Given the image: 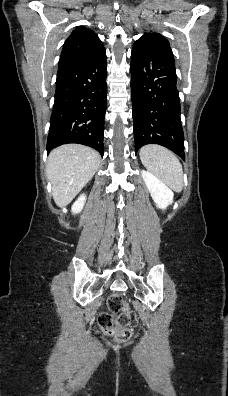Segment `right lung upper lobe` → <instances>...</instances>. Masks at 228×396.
Listing matches in <instances>:
<instances>
[{"mask_svg":"<svg viewBox=\"0 0 228 396\" xmlns=\"http://www.w3.org/2000/svg\"><path fill=\"white\" fill-rule=\"evenodd\" d=\"M101 47L103 43L92 30L77 27L63 45L59 65L84 58Z\"/></svg>","mask_w":228,"mask_h":396,"instance_id":"right-lung-upper-lobe-1","label":"right lung upper lobe"}]
</instances>
